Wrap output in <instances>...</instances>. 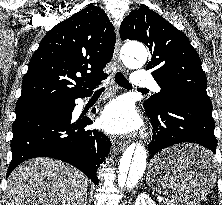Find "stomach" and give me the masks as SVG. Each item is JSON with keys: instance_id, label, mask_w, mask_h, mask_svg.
<instances>
[{"instance_id": "stomach-1", "label": "stomach", "mask_w": 222, "mask_h": 205, "mask_svg": "<svg viewBox=\"0 0 222 205\" xmlns=\"http://www.w3.org/2000/svg\"><path fill=\"white\" fill-rule=\"evenodd\" d=\"M206 152L197 145H184L159 153L149 164L147 184L184 205H196L208 195L216 179L213 164L192 159Z\"/></svg>"}]
</instances>
